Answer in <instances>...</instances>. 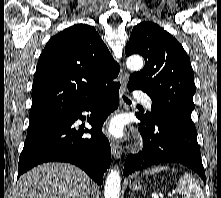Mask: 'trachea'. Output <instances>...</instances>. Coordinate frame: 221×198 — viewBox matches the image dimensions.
Segmentation results:
<instances>
[{
  "label": "trachea",
  "mask_w": 221,
  "mask_h": 198,
  "mask_svg": "<svg viewBox=\"0 0 221 198\" xmlns=\"http://www.w3.org/2000/svg\"><path fill=\"white\" fill-rule=\"evenodd\" d=\"M123 99L125 102L130 103V100L127 97L123 96Z\"/></svg>",
  "instance_id": "obj_1"
}]
</instances>
